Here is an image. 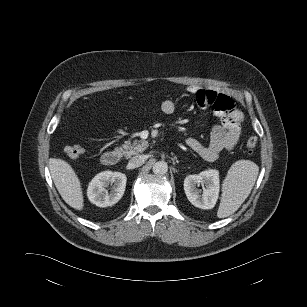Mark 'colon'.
I'll list each match as a JSON object with an SVG mask.
<instances>
[{
    "mask_svg": "<svg viewBox=\"0 0 307 307\" xmlns=\"http://www.w3.org/2000/svg\"><path fill=\"white\" fill-rule=\"evenodd\" d=\"M245 145L249 152L254 151L258 145L257 137L254 135L249 136L246 139ZM83 152H84V147L79 144L69 145L65 147L66 155L72 159L78 158L83 154Z\"/></svg>",
    "mask_w": 307,
    "mask_h": 307,
    "instance_id": "5ec220e1",
    "label": "colon"
}]
</instances>
